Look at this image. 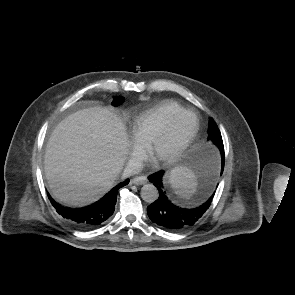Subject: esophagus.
<instances>
[{
	"label": "esophagus",
	"instance_id": "34e87169",
	"mask_svg": "<svg viewBox=\"0 0 295 295\" xmlns=\"http://www.w3.org/2000/svg\"><path fill=\"white\" fill-rule=\"evenodd\" d=\"M132 181L134 184L142 185L147 182V177L145 175L137 176Z\"/></svg>",
	"mask_w": 295,
	"mask_h": 295
}]
</instances>
